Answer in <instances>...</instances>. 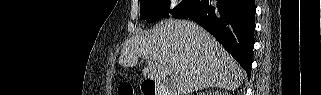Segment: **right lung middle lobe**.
I'll return each instance as SVG.
<instances>
[{
  "instance_id": "dd1d6c3e",
  "label": "right lung middle lobe",
  "mask_w": 321,
  "mask_h": 95,
  "mask_svg": "<svg viewBox=\"0 0 321 95\" xmlns=\"http://www.w3.org/2000/svg\"><path fill=\"white\" fill-rule=\"evenodd\" d=\"M205 0H183L176 8L170 10L169 0H141L140 19L153 22L160 18L169 17V13L175 18H188Z\"/></svg>"
}]
</instances>
